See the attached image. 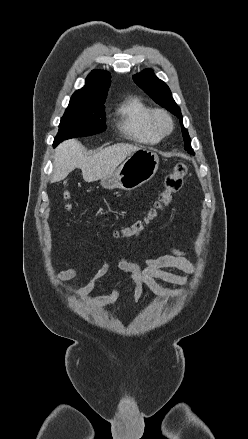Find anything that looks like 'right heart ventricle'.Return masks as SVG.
<instances>
[{
    "label": "right heart ventricle",
    "mask_w": 248,
    "mask_h": 439,
    "mask_svg": "<svg viewBox=\"0 0 248 439\" xmlns=\"http://www.w3.org/2000/svg\"><path fill=\"white\" fill-rule=\"evenodd\" d=\"M152 113L153 109L141 98L129 96L117 105L114 123L127 138L143 144H156L162 135L153 126Z\"/></svg>",
    "instance_id": "1"
}]
</instances>
